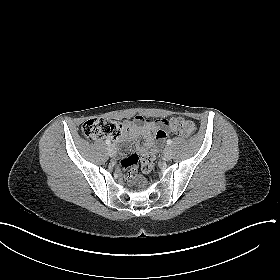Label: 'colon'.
I'll list each match as a JSON object with an SVG mask.
<instances>
[{
  "label": "colon",
  "instance_id": "colon-1",
  "mask_svg": "<svg viewBox=\"0 0 280 280\" xmlns=\"http://www.w3.org/2000/svg\"><path fill=\"white\" fill-rule=\"evenodd\" d=\"M166 126L175 134L182 137H190L195 132L193 122L182 118L174 117L166 122ZM123 132V125L104 118H93L87 120L81 127V134L89 139L96 140L104 137H118ZM155 158L151 151H145L140 156L130 155L123 159L122 165L126 170V179L129 182L144 186L145 180L140 169L149 173L153 170Z\"/></svg>",
  "mask_w": 280,
  "mask_h": 280
}]
</instances>
